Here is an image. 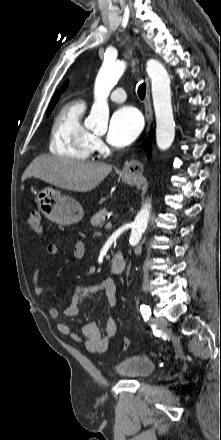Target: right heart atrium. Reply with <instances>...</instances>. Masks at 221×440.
<instances>
[{"label":"right heart atrium","instance_id":"1","mask_svg":"<svg viewBox=\"0 0 221 440\" xmlns=\"http://www.w3.org/2000/svg\"><path fill=\"white\" fill-rule=\"evenodd\" d=\"M93 147L94 150L101 151L104 148V144L100 137L93 136Z\"/></svg>","mask_w":221,"mask_h":440}]
</instances>
